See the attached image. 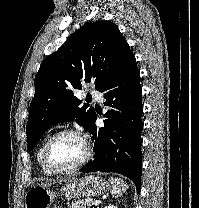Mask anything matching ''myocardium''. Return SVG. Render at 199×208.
Instances as JSON below:
<instances>
[{
  "mask_svg": "<svg viewBox=\"0 0 199 208\" xmlns=\"http://www.w3.org/2000/svg\"><path fill=\"white\" fill-rule=\"evenodd\" d=\"M63 135L77 136L81 140V142L83 143V145L85 147L84 157L77 164H75L69 168H58V167L54 166L52 164V162L50 160V156H49V150H50L51 145L53 144V142L57 138H59ZM92 156H93V147H92L87 135L77 128H65V129L55 132L54 134H52L48 138V140L45 143L44 149H43V159H44L45 165L48 167V169L50 171H52L53 173H56V174L73 173V172L81 169L83 166H85L90 161Z\"/></svg>",
  "mask_w": 199,
  "mask_h": 208,
  "instance_id": "f54148a6",
  "label": "myocardium"
}]
</instances>
